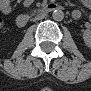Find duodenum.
<instances>
[{
    "instance_id": "1",
    "label": "duodenum",
    "mask_w": 91,
    "mask_h": 91,
    "mask_svg": "<svg viewBox=\"0 0 91 91\" xmlns=\"http://www.w3.org/2000/svg\"><path fill=\"white\" fill-rule=\"evenodd\" d=\"M59 9H60V5L57 3L45 4L34 12L20 14L16 18V25L19 28H23L29 23V21L33 15H45V14H48L50 12H53V11L59 10Z\"/></svg>"
}]
</instances>
